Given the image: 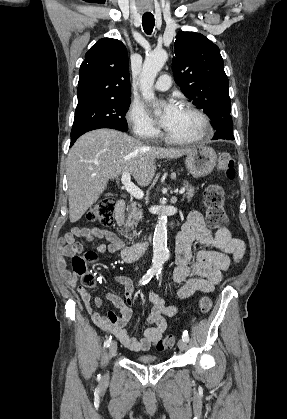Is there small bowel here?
Segmentation results:
<instances>
[{"mask_svg": "<svg viewBox=\"0 0 287 419\" xmlns=\"http://www.w3.org/2000/svg\"><path fill=\"white\" fill-rule=\"evenodd\" d=\"M83 238L92 241L95 238L106 239L107 243H100L96 246L99 253H115L124 247L120 238L112 231L102 228H72L63 238V241ZM198 242L209 246L211 249H203L192 253V244ZM244 243L232 237L227 228H218L213 231L208 227L198 212H191L182 230L177 236L175 250V264L173 280L183 283L177 292L179 299H185L197 292L211 293L216 285L222 280V273L226 271L231 262H239L244 254ZM73 252L61 246L57 249L56 266L61 276L70 286L77 283V274L67 267V257ZM115 283L124 288L126 300L114 293H106V299L115 307L120 309L121 315L117 316L113 311L106 314L99 313L96 308L101 307L103 301L100 297L93 298L82 286L77 287L89 315L93 322L106 332L115 335L120 342L133 351H147L162 337L167 329V317L174 316L178 309L174 305L166 304L156 293L150 294L152 307L149 312L148 322L153 326L144 331L141 339L130 336L126 325L132 316V294L133 283L126 276H118Z\"/></svg>", "mask_w": 287, "mask_h": 419, "instance_id": "1", "label": "small bowel"}]
</instances>
